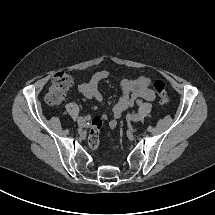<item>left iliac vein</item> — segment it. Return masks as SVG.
Segmentation results:
<instances>
[{"label":"left iliac vein","instance_id":"left-iliac-vein-1","mask_svg":"<svg viewBox=\"0 0 215 215\" xmlns=\"http://www.w3.org/2000/svg\"><path fill=\"white\" fill-rule=\"evenodd\" d=\"M130 119L133 121V122H138L141 120V116L139 114H132L130 116Z\"/></svg>","mask_w":215,"mask_h":215}]
</instances>
